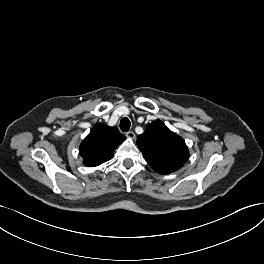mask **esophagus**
Segmentation results:
<instances>
[{"instance_id":"obj_1","label":"esophagus","mask_w":264,"mask_h":264,"mask_svg":"<svg viewBox=\"0 0 264 264\" xmlns=\"http://www.w3.org/2000/svg\"><path fill=\"white\" fill-rule=\"evenodd\" d=\"M126 137L129 139H134L135 138V133L133 131H128L126 133Z\"/></svg>"}]
</instances>
